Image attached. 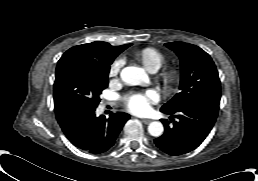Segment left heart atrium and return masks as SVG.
Listing matches in <instances>:
<instances>
[{"instance_id": "left-heart-atrium-1", "label": "left heart atrium", "mask_w": 258, "mask_h": 181, "mask_svg": "<svg viewBox=\"0 0 258 181\" xmlns=\"http://www.w3.org/2000/svg\"><path fill=\"white\" fill-rule=\"evenodd\" d=\"M158 101V95L154 90L144 93L132 94L126 101L128 110L136 114H144L149 111L152 103Z\"/></svg>"}]
</instances>
